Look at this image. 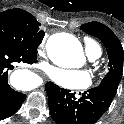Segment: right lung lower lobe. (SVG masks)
I'll use <instances>...</instances> for the list:
<instances>
[{"mask_svg":"<svg viewBox=\"0 0 124 124\" xmlns=\"http://www.w3.org/2000/svg\"><path fill=\"white\" fill-rule=\"evenodd\" d=\"M36 54L0 45V120L12 116L26 98L25 94L17 92L9 86L8 73L18 63H36Z\"/></svg>","mask_w":124,"mask_h":124,"instance_id":"98d812e1","label":"right lung lower lobe"}]
</instances>
